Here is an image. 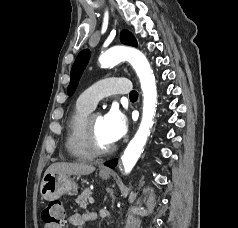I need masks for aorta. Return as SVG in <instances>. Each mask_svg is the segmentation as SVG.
<instances>
[{"instance_id":"aorta-1","label":"aorta","mask_w":238,"mask_h":228,"mask_svg":"<svg viewBox=\"0 0 238 228\" xmlns=\"http://www.w3.org/2000/svg\"><path fill=\"white\" fill-rule=\"evenodd\" d=\"M102 68L113 67L122 61H128L135 70L143 93L142 119L137 132L127 145L121 157L126 174L130 173L140 157L143 147L151 133L157 107V87L153 70L146 56L138 49L117 46L100 55Z\"/></svg>"}]
</instances>
